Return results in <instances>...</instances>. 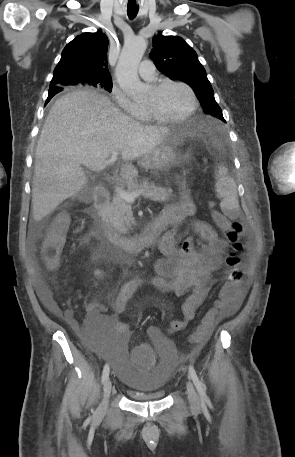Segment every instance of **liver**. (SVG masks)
<instances>
[{"label":"liver","mask_w":295,"mask_h":457,"mask_svg":"<svg viewBox=\"0 0 295 457\" xmlns=\"http://www.w3.org/2000/svg\"><path fill=\"white\" fill-rule=\"evenodd\" d=\"M172 130L143 125L120 111L110 99L91 90L68 93L55 101L41 131L35 153L32 214L42 220L87 184L82 165L102 171L120 151L121 173L138 176L132 164L152 152Z\"/></svg>","instance_id":"obj_1"}]
</instances>
